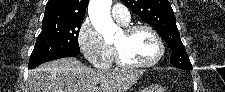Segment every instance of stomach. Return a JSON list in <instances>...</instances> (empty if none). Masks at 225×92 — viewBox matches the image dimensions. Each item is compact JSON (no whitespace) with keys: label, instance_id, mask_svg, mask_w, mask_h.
Returning <instances> with one entry per match:
<instances>
[{"label":"stomach","instance_id":"0dacf381","mask_svg":"<svg viewBox=\"0 0 225 92\" xmlns=\"http://www.w3.org/2000/svg\"><path fill=\"white\" fill-rule=\"evenodd\" d=\"M142 92H164V89L159 86H155L145 88Z\"/></svg>","mask_w":225,"mask_h":92}]
</instances>
